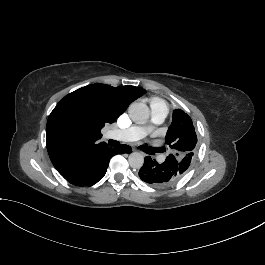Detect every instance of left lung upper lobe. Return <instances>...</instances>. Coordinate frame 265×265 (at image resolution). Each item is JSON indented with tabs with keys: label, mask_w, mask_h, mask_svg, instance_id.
<instances>
[{
	"label": "left lung upper lobe",
	"mask_w": 265,
	"mask_h": 265,
	"mask_svg": "<svg viewBox=\"0 0 265 265\" xmlns=\"http://www.w3.org/2000/svg\"><path fill=\"white\" fill-rule=\"evenodd\" d=\"M166 140L170 151L169 156L180 163L183 176L194 157L197 137L191 118L181 109L174 110L173 121L167 132Z\"/></svg>",
	"instance_id": "obj_1"
}]
</instances>
